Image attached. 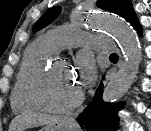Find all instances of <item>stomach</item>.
Instances as JSON below:
<instances>
[{
    "mask_svg": "<svg viewBox=\"0 0 151 131\" xmlns=\"http://www.w3.org/2000/svg\"><path fill=\"white\" fill-rule=\"evenodd\" d=\"M40 131H76V126L74 123L62 119L54 124L45 126Z\"/></svg>",
    "mask_w": 151,
    "mask_h": 131,
    "instance_id": "0dacf381",
    "label": "stomach"
}]
</instances>
